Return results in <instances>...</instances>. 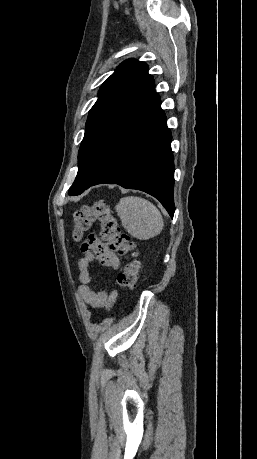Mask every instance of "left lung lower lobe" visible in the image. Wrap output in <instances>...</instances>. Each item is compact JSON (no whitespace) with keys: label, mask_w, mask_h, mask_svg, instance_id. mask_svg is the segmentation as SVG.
Wrapping results in <instances>:
<instances>
[{"label":"left lung lower lobe","mask_w":257,"mask_h":459,"mask_svg":"<svg viewBox=\"0 0 257 459\" xmlns=\"http://www.w3.org/2000/svg\"><path fill=\"white\" fill-rule=\"evenodd\" d=\"M153 85L154 81L107 133L101 165L90 186L119 184L147 192L157 198L173 217L171 133Z\"/></svg>","instance_id":"1"}]
</instances>
